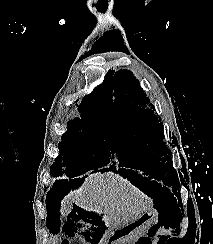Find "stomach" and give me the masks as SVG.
<instances>
[{"label": "stomach", "instance_id": "obj_1", "mask_svg": "<svg viewBox=\"0 0 213 244\" xmlns=\"http://www.w3.org/2000/svg\"><path fill=\"white\" fill-rule=\"evenodd\" d=\"M159 222V214L154 209H149L126 223H110L114 234H109V239H95V244H128V239L145 233L150 227Z\"/></svg>", "mask_w": 213, "mask_h": 244}]
</instances>
